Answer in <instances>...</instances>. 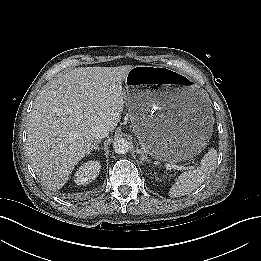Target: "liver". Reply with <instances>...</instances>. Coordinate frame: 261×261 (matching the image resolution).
<instances>
[{
	"label": "liver",
	"mask_w": 261,
	"mask_h": 261,
	"mask_svg": "<svg viewBox=\"0 0 261 261\" xmlns=\"http://www.w3.org/2000/svg\"><path fill=\"white\" fill-rule=\"evenodd\" d=\"M131 65L80 67L48 82L36 97L27 124L31 165L50 189H60L89 154L92 128L112 132L124 109L122 83Z\"/></svg>",
	"instance_id": "liver-1"
}]
</instances>
